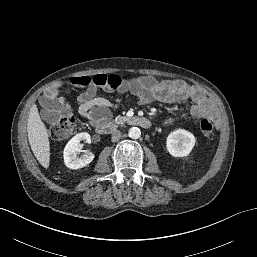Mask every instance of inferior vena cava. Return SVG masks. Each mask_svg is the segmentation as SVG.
I'll return each instance as SVG.
<instances>
[{
  "instance_id": "obj_1",
  "label": "inferior vena cava",
  "mask_w": 257,
  "mask_h": 257,
  "mask_svg": "<svg viewBox=\"0 0 257 257\" xmlns=\"http://www.w3.org/2000/svg\"><path fill=\"white\" fill-rule=\"evenodd\" d=\"M121 138V131L119 130H115L113 131L112 135H111V140L112 142H116Z\"/></svg>"
}]
</instances>
